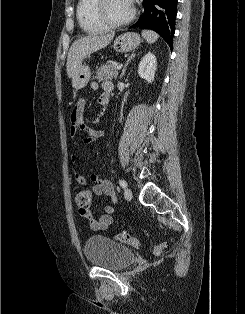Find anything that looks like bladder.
<instances>
[{
  "mask_svg": "<svg viewBox=\"0 0 245 314\" xmlns=\"http://www.w3.org/2000/svg\"><path fill=\"white\" fill-rule=\"evenodd\" d=\"M83 251L88 263L114 271L124 269L135 259L133 250L100 235L90 236Z\"/></svg>",
  "mask_w": 245,
  "mask_h": 314,
  "instance_id": "obj_1",
  "label": "bladder"
}]
</instances>
